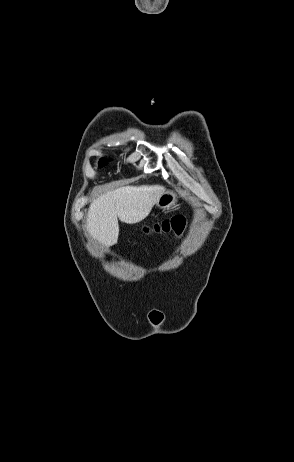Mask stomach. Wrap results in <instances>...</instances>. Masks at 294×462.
Instances as JSON below:
<instances>
[{
	"mask_svg": "<svg viewBox=\"0 0 294 462\" xmlns=\"http://www.w3.org/2000/svg\"><path fill=\"white\" fill-rule=\"evenodd\" d=\"M177 201V195L171 190L165 191L156 203V207L163 210H169Z\"/></svg>",
	"mask_w": 294,
	"mask_h": 462,
	"instance_id": "0dacf381",
	"label": "stomach"
}]
</instances>
